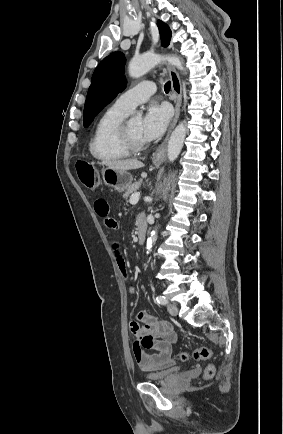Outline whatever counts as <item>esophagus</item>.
<instances>
[{"mask_svg": "<svg viewBox=\"0 0 283 434\" xmlns=\"http://www.w3.org/2000/svg\"><path fill=\"white\" fill-rule=\"evenodd\" d=\"M167 69H168L169 77L171 80L172 92L175 96V115H174L173 121L171 123L170 129L168 131V134H167L165 140L162 142V144L153 153L152 159L154 162H160V161H163L165 159L166 142L168 140V137H169L172 129L174 128V126L176 125V123L178 121V118L180 115V108H181V104H182V86H181L180 77L173 66L168 64Z\"/></svg>", "mask_w": 283, "mask_h": 434, "instance_id": "34e87169", "label": "esophagus"}]
</instances>
